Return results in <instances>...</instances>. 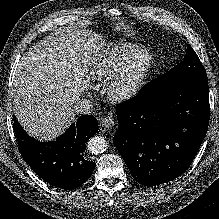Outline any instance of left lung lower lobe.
I'll return each instance as SVG.
<instances>
[{
    "label": "left lung lower lobe",
    "mask_w": 219,
    "mask_h": 219,
    "mask_svg": "<svg viewBox=\"0 0 219 219\" xmlns=\"http://www.w3.org/2000/svg\"><path fill=\"white\" fill-rule=\"evenodd\" d=\"M116 113L113 143L133 178L151 187L169 182L188 169L206 136L208 84H187L153 97L138 93Z\"/></svg>",
    "instance_id": "left-lung-lower-lobe-1"
}]
</instances>
